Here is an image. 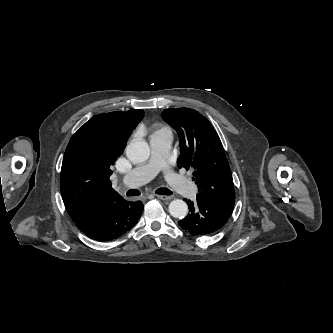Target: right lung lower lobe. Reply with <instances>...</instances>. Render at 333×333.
<instances>
[{
	"instance_id": "right-lung-lower-lobe-1",
	"label": "right lung lower lobe",
	"mask_w": 333,
	"mask_h": 333,
	"mask_svg": "<svg viewBox=\"0 0 333 333\" xmlns=\"http://www.w3.org/2000/svg\"><path fill=\"white\" fill-rule=\"evenodd\" d=\"M141 201H124L88 220L75 221L77 228L93 240L106 242L117 239L129 231L143 212Z\"/></svg>"
}]
</instances>
